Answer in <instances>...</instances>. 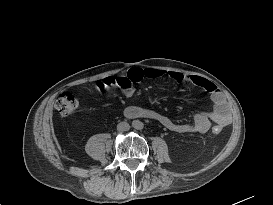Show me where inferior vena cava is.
Returning a JSON list of instances; mask_svg holds the SVG:
<instances>
[{
	"label": "inferior vena cava",
	"instance_id": "602c4592",
	"mask_svg": "<svg viewBox=\"0 0 273 205\" xmlns=\"http://www.w3.org/2000/svg\"><path fill=\"white\" fill-rule=\"evenodd\" d=\"M129 129H130V125L127 122H120L117 125V130L119 132H125V131H128Z\"/></svg>",
	"mask_w": 273,
	"mask_h": 205
}]
</instances>
